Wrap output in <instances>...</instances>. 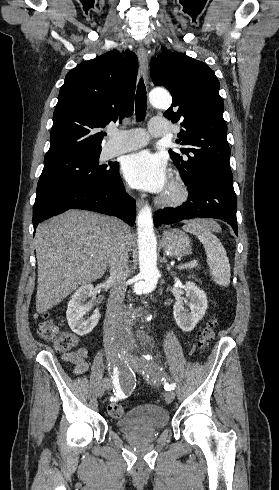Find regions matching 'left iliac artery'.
<instances>
[{"mask_svg":"<svg viewBox=\"0 0 279 490\" xmlns=\"http://www.w3.org/2000/svg\"><path fill=\"white\" fill-rule=\"evenodd\" d=\"M171 386H173V387H174V386H175V384H173V385H171ZM173 389H174V388H173ZM169 391H170V390H169Z\"/></svg>","mask_w":279,"mask_h":490,"instance_id":"left-iliac-artery-1","label":"left iliac artery"}]
</instances>
